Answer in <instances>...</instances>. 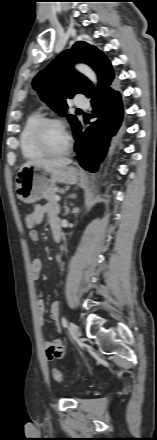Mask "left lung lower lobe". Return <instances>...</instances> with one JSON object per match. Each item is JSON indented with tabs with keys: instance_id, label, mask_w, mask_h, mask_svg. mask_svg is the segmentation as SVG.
I'll return each mask as SVG.
<instances>
[{
	"instance_id": "obj_1",
	"label": "left lung lower lobe",
	"mask_w": 157,
	"mask_h": 440,
	"mask_svg": "<svg viewBox=\"0 0 157 440\" xmlns=\"http://www.w3.org/2000/svg\"><path fill=\"white\" fill-rule=\"evenodd\" d=\"M92 117L96 120L83 129L79 124L73 130L76 159L87 171L96 172L103 161L111 140L120 129L123 120V104L118 91L108 89L101 96L91 101Z\"/></svg>"
}]
</instances>
